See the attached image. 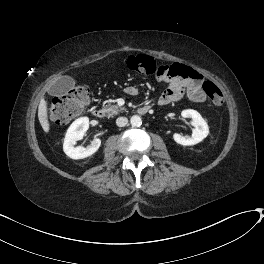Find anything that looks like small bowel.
Wrapping results in <instances>:
<instances>
[{
  "label": "small bowel",
  "mask_w": 264,
  "mask_h": 264,
  "mask_svg": "<svg viewBox=\"0 0 264 264\" xmlns=\"http://www.w3.org/2000/svg\"><path fill=\"white\" fill-rule=\"evenodd\" d=\"M171 75L160 78L161 81L169 83L168 89L162 92L158 98L159 105H166L171 102L187 98L194 102H203L206 95L202 88L203 77L191 68L175 64L171 67ZM129 95H135L137 88L130 86L125 91Z\"/></svg>",
  "instance_id": "1"
}]
</instances>
